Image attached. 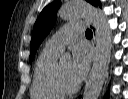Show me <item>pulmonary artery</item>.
Masks as SVG:
<instances>
[{
	"mask_svg": "<svg viewBox=\"0 0 128 99\" xmlns=\"http://www.w3.org/2000/svg\"><path fill=\"white\" fill-rule=\"evenodd\" d=\"M85 27L84 22L64 25L46 43V47L56 52H62L67 44L74 41Z\"/></svg>",
	"mask_w": 128,
	"mask_h": 99,
	"instance_id": "1",
	"label": "pulmonary artery"
}]
</instances>
